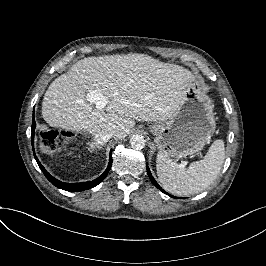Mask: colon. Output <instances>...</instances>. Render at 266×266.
Masks as SVG:
<instances>
[{
	"label": "colon",
	"mask_w": 266,
	"mask_h": 266,
	"mask_svg": "<svg viewBox=\"0 0 266 266\" xmlns=\"http://www.w3.org/2000/svg\"><path fill=\"white\" fill-rule=\"evenodd\" d=\"M40 145L49 153H56L62 146L60 133L53 129L40 131Z\"/></svg>",
	"instance_id": "5ec220e1"
}]
</instances>
